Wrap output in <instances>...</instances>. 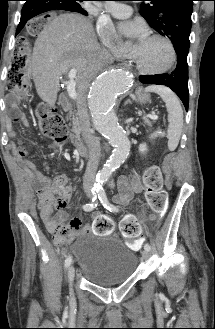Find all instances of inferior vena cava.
Here are the masks:
<instances>
[{
	"mask_svg": "<svg viewBox=\"0 0 215 329\" xmlns=\"http://www.w3.org/2000/svg\"><path fill=\"white\" fill-rule=\"evenodd\" d=\"M101 55L104 60L110 59V56L106 50L101 51ZM77 110L81 124L82 136L89 150V160L84 175V186H86L94 182L100 159V142L90 127L86 103V90H83L78 95Z\"/></svg>",
	"mask_w": 215,
	"mask_h": 329,
	"instance_id": "obj_1",
	"label": "inferior vena cava"
}]
</instances>
